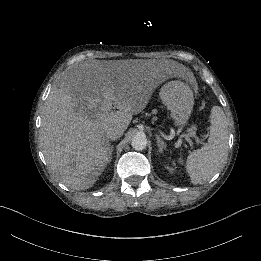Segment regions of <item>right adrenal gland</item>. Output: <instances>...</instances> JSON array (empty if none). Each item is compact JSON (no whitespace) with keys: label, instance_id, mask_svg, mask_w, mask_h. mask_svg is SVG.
I'll return each instance as SVG.
<instances>
[{"label":"right adrenal gland","instance_id":"2a0ac1e0","mask_svg":"<svg viewBox=\"0 0 261 261\" xmlns=\"http://www.w3.org/2000/svg\"><path fill=\"white\" fill-rule=\"evenodd\" d=\"M114 147L111 146L108 152V163L112 161V152H113Z\"/></svg>","mask_w":261,"mask_h":261}]
</instances>
